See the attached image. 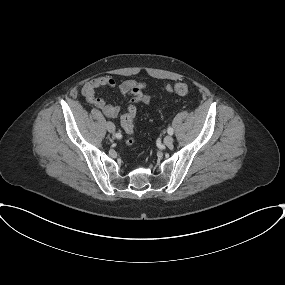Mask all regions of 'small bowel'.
Here are the masks:
<instances>
[{"label": "small bowel", "instance_id": "1", "mask_svg": "<svg viewBox=\"0 0 285 285\" xmlns=\"http://www.w3.org/2000/svg\"><path fill=\"white\" fill-rule=\"evenodd\" d=\"M104 87L116 88L124 97L130 96L131 104H148L151 99L145 82L125 80L117 84L116 81L110 76L96 77L83 85L81 93L87 103L92 104L100 109L103 114L109 118L118 117L121 112V107L119 105L109 104L104 98L98 97L96 95V91Z\"/></svg>", "mask_w": 285, "mask_h": 285}]
</instances>
